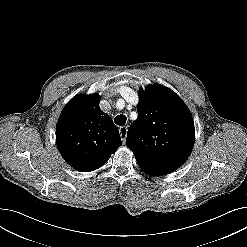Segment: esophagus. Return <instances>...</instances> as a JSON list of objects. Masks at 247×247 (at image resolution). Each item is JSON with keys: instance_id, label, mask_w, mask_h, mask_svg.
Segmentation results:
<instances>
[{"instance_id": "34e87169", "label": "esophagus", "mask_w": 247, "mask_h": 247, "mask_svg": "<svg viewBox=\"0 0 247 247\" xmlns=\"http://www.w3.org/2000/svg\"><path fill=\"white\" fill-rule=\"evenodd\" d=\"M127 131H128L127 126H122L119 128V132H120V136H121V140L123 144H125V141H126Z\"/></svg>"}]
</instances>
